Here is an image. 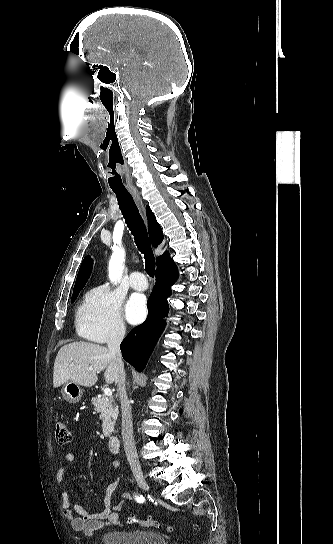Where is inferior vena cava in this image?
I'll use <instances>...</instances> for the list:
<instances>
[{
    "mask_svg": "<svg viewBox=\"0 0 333 544\" xmlns=\"http://www.w3.org/2000/svg\"><path fill=\"white\" fill-rule=\"evenodd\" d=\"M125 336V328L119 327L113 331L107 342L109 353L115 357L118 364V394L121 403L122 410V438L124 444V450L126 457L128 459L129 465L131 468H140V463L138 460V455L135 447L134 437H133V423H132V414L131 406L128 400L126 390H125V380L126 375L124 371V365L121 358L120 343Z\"/></svg>",
    "mask_w": 333,
    "mask_h": 544,
    "instance_id": "1",
    "label": "inferior vena cava"
}]
</instances>
